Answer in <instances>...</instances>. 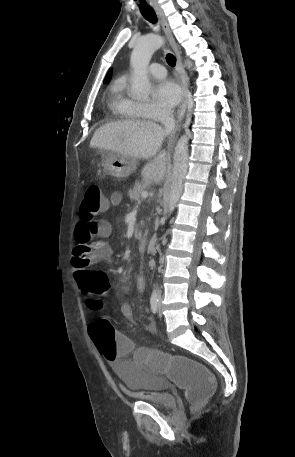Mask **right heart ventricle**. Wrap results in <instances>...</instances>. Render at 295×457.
Here are the masks:
<instances>
[{"label": "right heart ventricle", "instance_id": "1", "mask_svg": "<svg viewBox=\"0 0 295 457\" xmlns=\"http://www.w3.org/2000/svg\"><path fill=\"white\" fill-rule=\"evenodd\" d=\"M109 107L115 116L123 120H137L141 117L138 103L129 97L123 80H117L110 86Z\"/></svg>", "mask_w": 295, "mask_h": 457}]
</instances>
